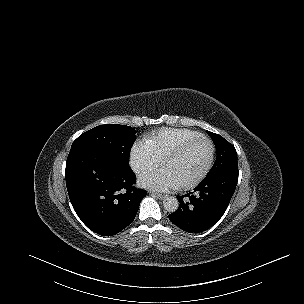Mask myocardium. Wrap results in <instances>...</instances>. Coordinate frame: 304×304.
<instances>
[{"instance_id": "myocardium-1", "label": "myocardium", "mask_w": 304, "mask_h": 304, "mask_svg": "<svg viewBox=\"0 0 304 304\" xmlns=\"http://www.w3.org/2000/svg\"><path fill=\"white\" fill-rule=\"evenodd\" d=\"M201 142H205L208 144L209 147L208 158L202 169L198 172V174L194 178H192L190 181L178 183L181 188H189L194 185H197L208 174L214 161L215 146L213 141L206 136H198L197 138H194L186 142L185 144L181 145L177 149H175L166 159H164L162 163V168L164 170H168V166L173 160L179 157L187 149Z\"/></svg>"}]
</instances>
